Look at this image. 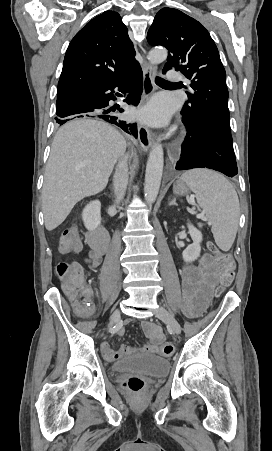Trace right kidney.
<instances>
[{"label": "right kidney", "instance_id": "1", "mask_svg": "<svg viewBox=\"0 0 272 451\" xmlns=\"http://www.w3.org/2000/svg\"><path fill=\"white\" fill-rule=\"evenodd\" d=\"M101 204L99 200H94V202H90L87 204L86 208H84L82 212V218L84 222V226L87 229H95L98 227L101 222Z\"/></svg>", "mask_w": 272, "mask_h": 451}]
</instances>
